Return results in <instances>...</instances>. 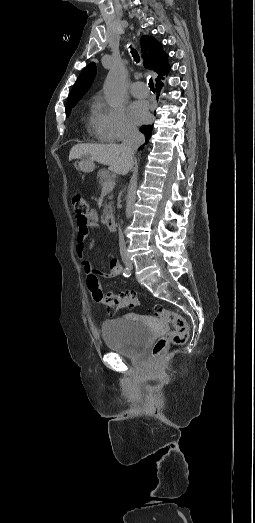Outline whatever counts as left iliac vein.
I'll return each instance as SVG.
<instances>
[{
	"label": "left iliac vein",
	"instance_id": "obj_1",
	"mask_svg": "<svg viewBox=\"0 0 255 523\" xmlns=\"http://www.w3.org/2000/svg\"><path fill=\"white\" fill-rule=\"evenodd\" d=\"M128 267H129L130 269H132V268H133V265H132V263H130V265H129Z\"/></svg>",
	"mask_w": 255,
	"mask_h": 523
}]
</instances>
